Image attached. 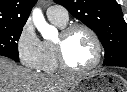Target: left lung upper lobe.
Here are the masks:
<instances>
[{"instance_id":"1","label":"left lung upper lobe","mask_w":127,"mask_h":92,"mask_svg":"<svg viewBox=\"0 0 127 92\" xmlns=\"http://www.w3.org/2000/svg\"><path fill=\"white\" fill-rule=\"evenodd\" d=\"M90 27L105 49V60L127 53V24L115 0H54Z\"/></svg>"}]
</instances>
